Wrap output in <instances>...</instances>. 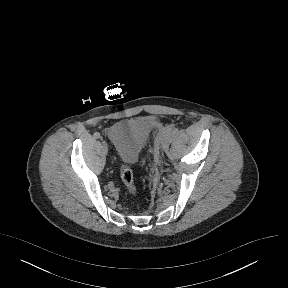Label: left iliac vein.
<instances>
[{"instance_id":"1","label":"left iliac vein","mask_w":288,"mask_h":288,"mask_svg":"<svg viewBox=\"0 0 288 288\" xmlns=\"http://www.w3.org/2000/svg\"><path fill=\"white\" fill-rule=\"evenodd\" d=\"M167 146H168L167 140H163L162 143H161V148H162L163 150H166V149H167Z\"/></svg>"}]
</instances>
